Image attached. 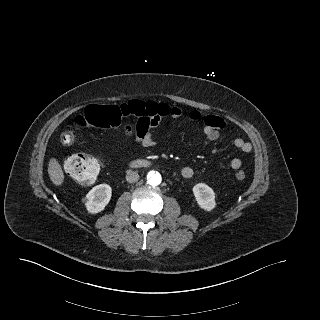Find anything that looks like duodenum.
Wrapping results in <instances>:
<instances>
[{"label": "duodenum", "mask_w": 320, "mask_h": 320, "mask_svg": "<svg viewBox=\"0 0 320 320\" xmlns=\"http://www.w3.org/2000/svg\"><path fill=\"white\" fill-rule=\"evenodd\" d=\"M134 166H137V167H145V166H148L150 165V162L146 161V160H137L133 163Z\"/></svg>", "instance_id": "duodenum-1"}]
</instances>
